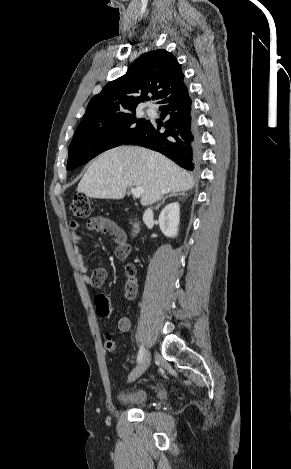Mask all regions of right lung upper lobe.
<instances>
[{"instance_id":"obj_1","label":"right lung upper lobe","mask_w":291,"mask_h":469,"mask_svg":"<svg viewBox=\"0 0 291 469\" xmlns=\"http://www.w3.org/2000/svg\"><path fill=\"white\" fill-rule=\"evenodd\" d=\"M183 80L181 65L170 52L158 49L145 53L131 64L125 75L109 82L91 99L81 121L135 111L148 93L154 94L159 104L182 89Z\"/></svg>"}]
</instances>
